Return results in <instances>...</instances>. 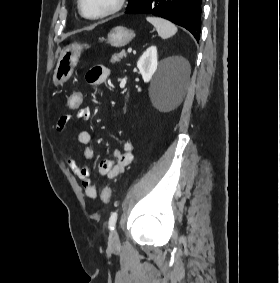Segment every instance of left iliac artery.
Segmentation results:
<instances>
[{"label":"left iliac artery","instance_id":"44dca946","mask_svg":"<svg viewBox=\"0 0 280 283\" xmlns=\"http://www.w3.org/2000/svg\"><path fill=\"white\" fill-rule=\"evenodd\" d=\"M117 217H118V213L113 212L109 218V229L110 230H114L115 224L117 222Z\"/></svg>","mask_w":280,"mask_h":283}]
</instances>
